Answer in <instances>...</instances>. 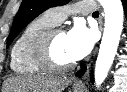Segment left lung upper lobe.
<instances>
[{"label": "left lung upper lobe", "mask_w": 127, "mask_h": 92, "mask_svg": "<svg viewBox=\"0 0 127 92\" xmlns=\"http://www.w3.org/2000/svg\"><path fill=\"white\" fill-rule=\"evenodd\" d=\"M70 0H23L13 21L7 47L35 17L50 7L64 5Z\"/></svg>", "instance_id": "obj_1"}]
</instances>
